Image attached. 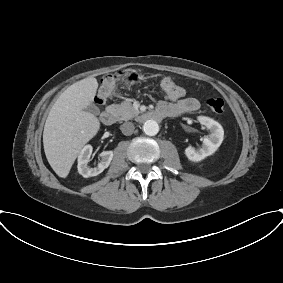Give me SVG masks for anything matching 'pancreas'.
Wrapping results in <instances>:
<instances>
[{
    "mask_svg": "<svg viewBox=\"0 0 283 283\" xmlns=\"http://www.w3.org/2000/svg\"><path fill=\"white\" fill-rule=\"evenodd\" d=\"M110 108L115 112L119 120H130L139 114V111L133 108L130 101H124L121 104H112Z\"/></svg>",
    "mask_w": 283,
    "mask_h": 283,
    "instance_id": "cf45deb5",
    "label": "pancreas"
}]
</instances>
